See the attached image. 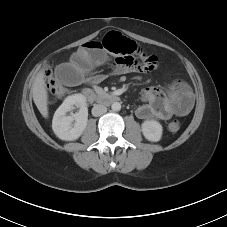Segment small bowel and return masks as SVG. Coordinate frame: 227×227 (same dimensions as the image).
Instances as JSON below:
<instances>
[{
  "label": "small bowel",
  "mask_w": 227,
  "mask_h": 227,
  "mask_svg": "<svg viewBox=\"0 0 227 227\" xmlns=\"http://www.w3.org/2000/svg\"><path fill=\"white\" fill-rule=\"evenodd\" d=\"M107 59L108 55L100 42H88L77 50L70 63H63L56 69L55 78L65 87L98 84L104 80V76H87V73L94 67L103 65ZM112 67L115 73L139 72L141 62L133 57L114 58ZM140 97L142 103L137 106L135 113L143 120H168L173 115H186L194 103L192 93L182 81L172 82L167 93L155 86L147 87Z\"/></svg>",
  "instance_id": "obj_1"
}]
</instances>
